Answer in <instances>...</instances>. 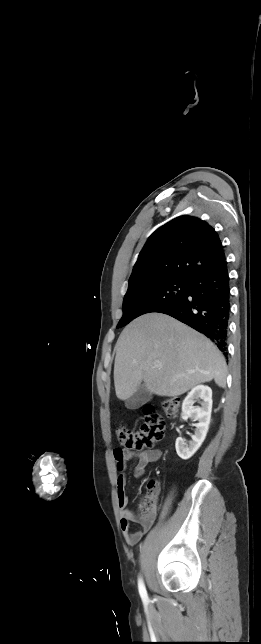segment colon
<instances>
[{"label": "colon", "mask_w": 261, "mask_h": 644, "mask_svg": "<svg viewBox=\"0 0 261 644\" xmlns=\"http://www.w3.org/2000/svg\"><path fill=\"white\" fill-rule=\"evenodd\" d=\"M179 400L175 397L166 398L162 402V410L168 418H175L178 413ZM165 421L160 411L151 404L143 408V423L139 431L134 432L126 427H119L116 435L119 443L128 449H151L154 444L163 438ZM157 508V495L155 482L150 481L147 493L143 496L140 505L142 521L151 520Z\"/></svg>", "instance_id": "5ec220e1"}]
</instances>
